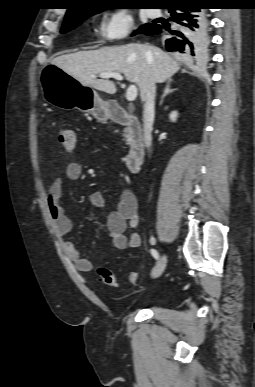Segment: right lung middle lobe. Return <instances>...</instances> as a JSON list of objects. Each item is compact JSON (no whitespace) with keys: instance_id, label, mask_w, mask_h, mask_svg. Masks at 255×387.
Returning <instances> with one entry per match:
<instances>
[{"instance_id":"right-lung-middle-lobe-1","label":"right lung middle lobe","mask_w":255,"mask_h":387,"mask_svg":"<svg viewBox=\"0 0 255 387\" xmlns=\"http://www.w3.org/2000/svg\"><path fill=\"white\" fill-rule=\"evenodd\" d=\"M100 11H102V10L88 11L86 13H83V14H80V15H77V16L65 17L64 22H63V26H62V29H61V33L65 34L66 32L74 29L75 27L80 25L83 20L87 19L88 17H90L93 14H96V13H98ZM152 25H154V24L147 23V24L143 25L142 27H140L139 30L134 32V34L142 33L144 28L150 27Z\"/></svg>"}]
</instances>
